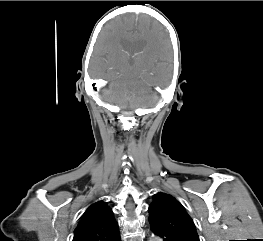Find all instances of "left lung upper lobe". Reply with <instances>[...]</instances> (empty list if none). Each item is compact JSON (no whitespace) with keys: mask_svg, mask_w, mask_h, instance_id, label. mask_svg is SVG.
I'll use <instances>...</instances> for the list:
<instances>
[{"mask_svg":"<svg viewBox=\"0 0 263 241\" xmlns=\"http://www.w3.org/2000/svg\"><path fill=\"white\" fill-rule=\"evenodd\" d=\"M148 211L149 223L162 227L184 241H199L193 220L173 196L158 192Z\"/></svg>","mask_w":263,"mask_h":241,"instance_id":"left-lung-upper-lobe-1","label":"left lung upper lobe"}]
</instances>
